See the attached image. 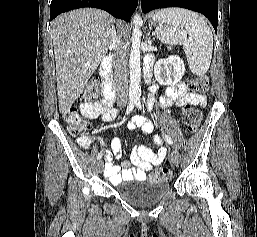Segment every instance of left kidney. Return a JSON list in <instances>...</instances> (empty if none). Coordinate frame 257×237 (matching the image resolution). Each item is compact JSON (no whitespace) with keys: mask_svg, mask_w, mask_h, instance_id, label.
<instances>
[{"mask_svg":"<svg viewBox=\"0 0 257 237\" xmlns=\"http://www.w3.org/2000/svg\"><path fill=\"white\" fill-rule=\"evenodd\" d=\"M184 72V62L177 55L160 59L154 65L155 78L161 85L173 86L177 84L182 79Z\"/></svg>","mask_w":257,"mask_h":237,"instance_id":"obj_1","label":"left kidney"}]
</instances>
